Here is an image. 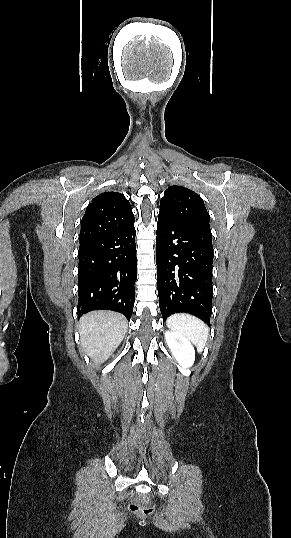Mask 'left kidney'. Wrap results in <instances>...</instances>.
<instances>
[{
  "mask_svg": "<svg viewBox=\"0 0 291 538\" xmlns=\"http://www.w3.org/2000/svg\"><path fill=\"white\" fill-rule=\"evenodd\" d=\"M166 343L178 363L188 370L195 361V350L190 341L178 332H165Z\"/></svg>",
  "mask_w": 291,
  "mask_h": 538,
  "instance_id": "obj_1",
  "label": "left kidney"
}]
</instances>
